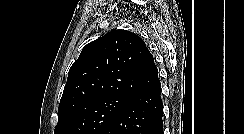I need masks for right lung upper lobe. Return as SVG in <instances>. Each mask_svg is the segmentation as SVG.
<instances>
[{
	"instance_id": "right-lung-upper-lobe-1",
	"label": "right lung upper lobe",
	"mask_w": 244,
	"mask_h": 134,
	"mask_svg": "<svg viewBox=\"0 0 244 134\" xmlns=\"http://www.w3.org/2000/svg\"><path fill=\"white\" fill-rule=\"evenodd\" d=\"M160 84L145 42L126 30L111 31L87 44L71 66L58 107V119L107 97L132 98Z\"/></svg>"
}]
</instances>
